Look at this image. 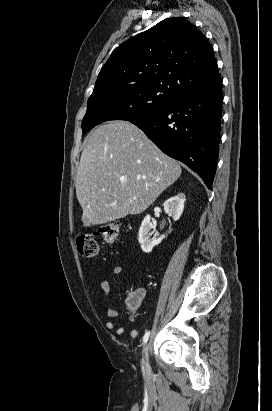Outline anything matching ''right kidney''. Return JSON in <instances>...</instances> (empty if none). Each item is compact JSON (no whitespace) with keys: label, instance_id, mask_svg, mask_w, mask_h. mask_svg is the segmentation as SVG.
<instances>
[{"label":"right kidney","instance_id":"obj_1","mask_svg":"<svg viewBox=\"0 0 272 411\" xmlns=\"http://www.w3.org/2000/svg\"><path fill=\"white\" fill-rule=\"evenodd\" d=\"M184 203H185V195L183 193H179L178 195L167 199L163 206L164 211L173 218L174 221L180 219L183 210H184ZM154 228L151 222V216L147 215L144 220L142 221L139 234H138V241L141 244V248L143 252L150 253L152 249L161 242L165 235L160 238H150L151 230ZM171 231V230H170Z\"/></svg>","mask_w":272,"mask_h":411}]
</instances>
